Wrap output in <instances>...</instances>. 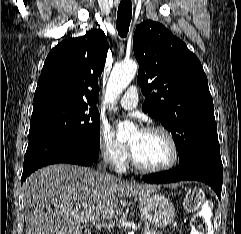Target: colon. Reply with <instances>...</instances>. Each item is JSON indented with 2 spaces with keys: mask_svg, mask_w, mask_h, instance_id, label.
<instances>
[{
  "mask_svg": "<svg viewBox=\"0 0 241 234\" xmlns=\"http://www.w3.org/2000/svg\"><path fill=\"white\" fill-rule=\"evenodd\" d=\"M184 205L186 210L195 213L191 221V234H208L207 214L209 206L206 203L203 191L199 188L192 189L188 193Z\"/></svg>",
  "mask_w": 241,
  "mask_h": 234,
  "instance_id": "obj_1",
  "label": "colon"
}]
</instances>
